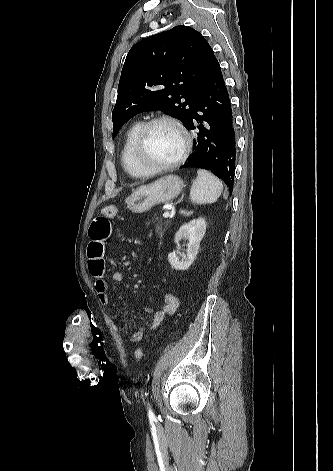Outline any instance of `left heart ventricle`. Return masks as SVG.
Instances as JSON below:
<instances>
[{
    "instance_id": "obj_1",
    "label": "left heart ventricle",
    "mask_w": 333,
    "mask_h": 471,
    "mask_svg": "<svg viewBox=\"0 0 333 471\" xmlns=\"http://www.w3.org/2000/svg\"><path fill=\"white\" fill-rule=\"evenodd\" d=\"M182 149L177 130L165 123L153 126L148 134L145 158L152 164H166L175 160Z\"/></svg>"
}]
</instances>
